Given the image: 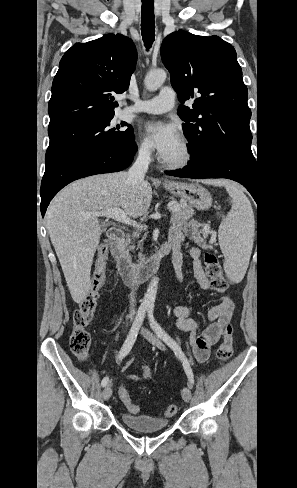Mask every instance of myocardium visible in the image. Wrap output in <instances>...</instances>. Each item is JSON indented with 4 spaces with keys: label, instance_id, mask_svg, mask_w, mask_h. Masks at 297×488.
<instances>
[{
    "label": "myocardium",
    "instance_id": "f54148a6",
    "mask_svg": "<svg viewBox=\"0 0 297 488\" xmlns=\"http://www.w3.org/2000/svg\"><path fill=\"white\" fill-rule=\"evenodd\" d=\"M180 141L182 143V148H183L182 157L180 159L173 160V161L164 158L161 160L162 164L168 169L177 170V169L185 168L193 160L194 151L190 140L185 136H181Z\"/></svg>",
    "mask_w": 297,
    "mask_h": 488
}]
</instances>
